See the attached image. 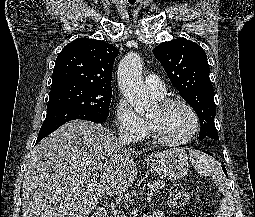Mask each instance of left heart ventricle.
<instances>
[{
  "label": "left heart ventricle",
  "mask_w": 255,
  "mask_h": 217,
  "mask_svg": "<svg viewBox=\"0 0 255 217\" xmlns=\"http://www.w3.org/2000/svg\"><path fill=\"white\" fill-rule=\"evenodd\" d=\"M147 119L160 136L170 140L185 138L193 127L191 114L180 104H174L167 108L157 105L147 115Z\"/></svg>",
  "instance_id": "obj_1"
}]
</instances>
